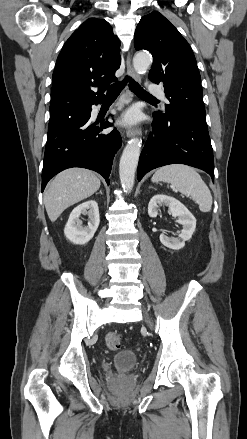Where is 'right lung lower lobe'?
<instances>
[{
	"label": "right lung lower lobe",
	"instance_id": "right-lung-lower-lobe-1",
	"mask_svg": "<svg viewBox=\"0 0 247 439\" xmlns=\"http://www.w3.org/2000/svg\"><path fill=\"white\" fill-rule=\"evenodd\" d=\"M84 105L69 117L48 126L42 170V192L48 181L57 173L71 167H82L101 174L109 185L113 157L121 147L119 132H103L113 124L107 119H90L93 104ZM111 115H109L110 117Z\"/></svg>",
	"mask_w": 247,
	"mask_h": 439
}]
</instances>
